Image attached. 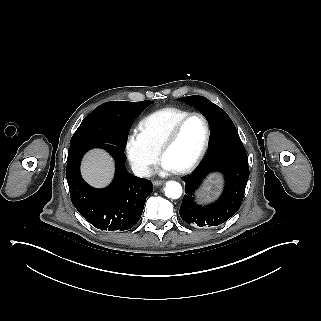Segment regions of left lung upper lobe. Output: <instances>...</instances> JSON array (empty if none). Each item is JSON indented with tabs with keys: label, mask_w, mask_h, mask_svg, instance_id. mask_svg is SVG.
<instances>
[{
	"label": "left lung upper lobe",
	"mask_w": 321,
	"mask_h": 321,
	"mask_svg": "<svg viewBox=\"0 0 321 321\" xmlns=\"http://www.w3.org/2000/svg\"><path fill=\"white\" fill-rule=\"evenodd\" d=\"M183 100L194 107H196L202 115H204L210 125V137L237 131L232 120L227 113L220 107L210 102L203 96H188L184 97Z\"/></svg>",
	"instance_id": "1"
}]
</instances>
